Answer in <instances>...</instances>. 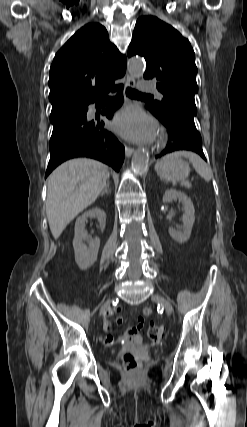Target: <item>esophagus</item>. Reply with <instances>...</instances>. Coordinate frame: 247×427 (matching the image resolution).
Here are the masks:
<instances>
[{"label":"esophagus","mask_w":247,"mask_h":427,"mask_svg":"<svg viewBox=\"0 0 247 427\" xmlns=\"http://www.w3.org/2000/svg\"><path fill=\"white\" fill-rule=\"evenodd\" d=\"M126 86L127 87H134L135 86V79L130 75H127ZM133 152H134V148L129 147V146L125 147V154L127 157H130L133 154Z\"/></svg>","instance_id":"1"}]
</instances>
